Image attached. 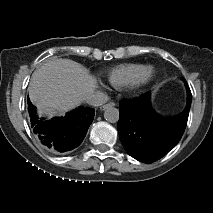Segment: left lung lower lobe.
Masks as SVG:
<instances>
[{
	"label": "left lung lower lobe",
	"instance_id": "1",
	"mask_svg": "<svg viewBox=\"0 0 213 213\" xmlns=\"http://www.w3.org/2000/svg\"><path fill=\"white\" fill-rule=\"evenodd\" d=\"M187 105L174 118H164L151 108L149 94L120 102L117 125L127 153L141 162L151 163L167 154L181 139L188 120L192 95L187 82Z\"/></svg>",
	"mask_w": 213,
	"mask_h": 213
}]
</instances>
